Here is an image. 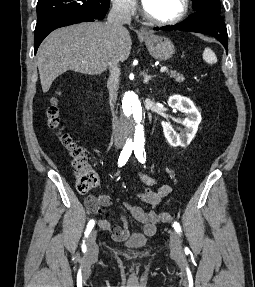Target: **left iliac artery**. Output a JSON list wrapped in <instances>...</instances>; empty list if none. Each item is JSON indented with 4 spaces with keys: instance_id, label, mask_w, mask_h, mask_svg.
<instances>
[{
    "instance_id": "left-iliac-artery-1",
    "label": "left iliac artery",
    "mask_w": 255,
    "mask_h": 287,
    "mask_svg": "<svg viewBox=\"0 0 255 287\" xmlns=\"http://www.w3.org/2000/svg\"><path fill=\"white\" fill-rule=\"evenodd\" d=\"M134 154L140 163H145L146 154H145V150L143 147H135L134 148ZM173 227L177 233H179V234L181 233V227H180V224L178 222H174Z\"/></svg>"
}]
</instances>
